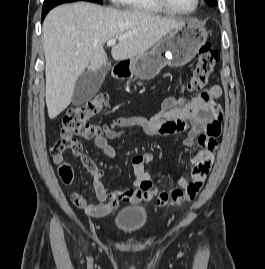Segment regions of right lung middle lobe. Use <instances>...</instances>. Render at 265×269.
Returning a JSON list of instances; mask_svg holds the SVG:
<instances>
[{"mask_svg": "<svg viewBox=\"0 0 265 269\" xmlns=\"http://www.w3.org/2000/svg\"><path fill=\"white\" fill-rule=\"evenodd\" d=\"M89 2L99 3L102 4L103 0H88Z\"/></svg>", "mask_w": 265, "mask_h": 269, "instance_id": "1", "label": "right lung middle lobe"}]
</instances>
